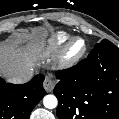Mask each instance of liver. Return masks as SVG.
<instances>
[{
    "label": "liver",
    "mask_w": 119,
    "mask_h": 119,
    "mask_svg": "<svg viewBox=\"0 0 119 119\" xmlns=\"http://www.w3.org/2000/svg\"><path fill=\"white\" fill-rule=\"evenodd\" d=\"M47 30L44 27L33 28L23 32L16 41L0 44V76H9L29 70L36 55L43 50ZM29 41L27 48L18 46L19 42Z\"/></svg>",
    "instance_id": "1"
}]
</instances>
